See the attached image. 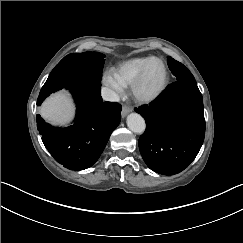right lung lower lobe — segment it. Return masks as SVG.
I'll use <instances>...</instances> for the list:
<instances>
[{
    "label": "right lung lower lobe",
    "mask_w": 243,
    "mask_h": 243,
    "mask_svg": "<svg viewBox=\"0 0 243 243\" xmlns=\"http://www.w3.org/2000/svg\"><path fill=\"white\" fill-rule=\"evenodd\" d=\"M72 93L77 114L74 124L56 128L36 116L42 141L53 158L70 170L91 167L103 152L111 133L121 120V105L103 102L100 84L75 82Z\"/></svg>",
    "instance_id": "right-lung-lower-lobe-1"
}]
</instances>
